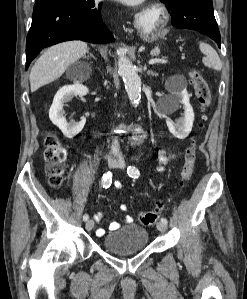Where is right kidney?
Returning <instances> with one entry per match:
<instances>
[{
    "mask_svg": "<svg viewBox=\"0 0 247 299\" xmlns=\"http://www.w3.org/2000/svg\"><path fill=\"white\" fill-rule=\"evenodd\" d=\"M88 88L80 82H75L72 85L61 87L56 93L53 103L49 110V118L56 125L66 138L72 139L79 134L86 123V118H82L79 122L71 120L66 121L64 116V103L69 101L74 96H83L88 93Z\"/></svg>",
    "mask_w": 247,
    "mask_h": 299,
    "instance_id": "obj_1",
    "label": "right kidney"
}]
</instances>
